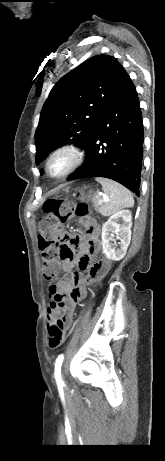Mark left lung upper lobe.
<instances>
[{
	"instance_id": "5c2ea615",
	"label": "left lung upper lobe",
	"mask_w": 165,
	"mask_h": 461,
	"mask_svg": "<svg viewBox=\"0 0 165 461\" xmlns=\"http://www.w3.org/2000/svg\"><path fill=\"white\" fill-rule=\"evenodd\" d=\"M127 75L116 58L97 55L63 76L41 111L36 164L58 146L75 143L83 148Z\"/></svg>"
}]
</instances>
